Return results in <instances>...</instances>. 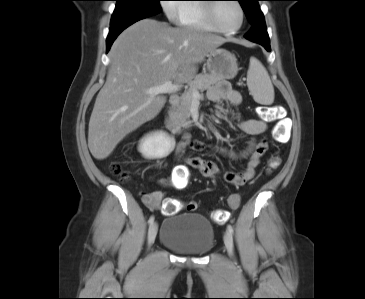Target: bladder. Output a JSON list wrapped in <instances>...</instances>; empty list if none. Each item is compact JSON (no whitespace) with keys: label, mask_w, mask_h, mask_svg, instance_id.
<instances>
[{"label":"bladder","mask_w":365,"mask_h":299,"mask_svg":"<svg viewBox=\"0 0 365 299\" xmlns=\"http://www.w3.org/2000/svg\"><path fill=\"white\" fill-rule=\"evenodd\" d=\"M159 241L177 253L199 256L214 247L215 231L211 222L201 214L170 215L163 222Z\"/></svg>","instance_id":"31cf9c89"}]
</instances>
